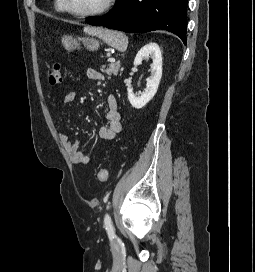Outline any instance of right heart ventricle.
<instances>
[{"label":"right heart ventricle","instance_id":"1","mask_svg":"<svg viewBox=\"0 0 255 272\" xmlns=\"http://www.w3.org/2000/svg\"><path fill=\"white\" fill-rule=\"evenodd\" d=\"M54 8L59 13H65L61 0H54Z\"/></svg>","mask_w":255,"mask_h":272}]
</instances>
